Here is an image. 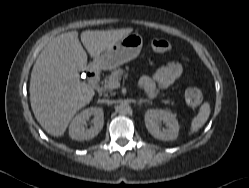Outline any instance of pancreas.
<instances>
[{
  "label": "pancreas",
  "mask_w": 249,
  "mask_h": 188,
  "mask_svg": "<svg viewBox=\"0 0 249 188\" xmlns=\"http://www.w3.org/2000/svg\"><path fill=\"white\" fill-rule=\"evenodd\" d=\"M127 69H128V67H127ZM123 75H124L125 77H127V74H126V72H125L123 69L118 68V69L113 70L112 73H111L110 75H108V76L103 80V82H102L103 87L101 88V90H102L104 93H110V94H112V91H113L114 88L109 87V85H110L111 83L115 82V81L120 80L121 77H122ZM173 104H174V103L172 102V105H173Z\"/></svg>",
  "instance_id": "obj_1"
}]
</instances>
